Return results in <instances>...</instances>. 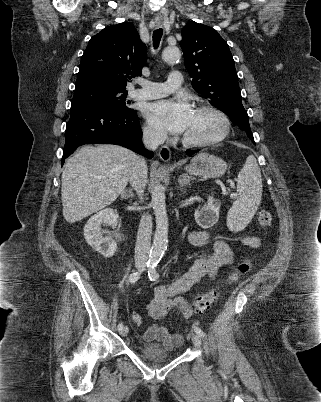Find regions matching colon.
<instances>
[{
	"instance_id": "colon-1",
	"label": "colon",
	"mask_w": 321,
	"mask_h": 402,
	"mask_svg": "<svg viewBox=\"0 0 321 402\" xmlns=\"http://www.w3.org/2000/svg\"><path fill=\"white\" fill-rule=\"evenodd\" d=\"M271 222H272L271 213L268 210H261L258 214V223L260 227L267 228L271 225ZM251 265L252 262L250 259H245L241 261L232 271V273L229 276V279L233 280L238 276L247 273L250 270ZM218 294H219V288H213L203 293L202 295H200L198 298L195 299V301L192 304L191 310L192 311L204 310L217 298ZM133 320L137 324H141L142 322L141 316L137 313L133 315Z\"/></svg>"
}]
</instances>
